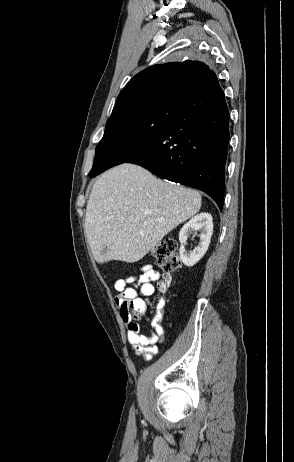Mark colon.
Masks as SVG:
<instances>
[{
  "mask_svg": "<svg viewBox=\"0 0 294 462\" xmlns=\"http://www.w3.org/2000/svg\"><path fill=\"white\" fill-rule=\"evenodd\" d=\"M150 255L163 272L156 285L160 290H166L172 284V274L180 268L177 243L173 239H165L151 249ZM137 317L138 315L135 318Z\"/></svg>",
  "mask_w": 294,
  "mask_h": 462,
  "instance_id": "colon-1",
  "label": "colon"
}]
</instances>
